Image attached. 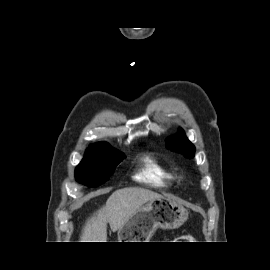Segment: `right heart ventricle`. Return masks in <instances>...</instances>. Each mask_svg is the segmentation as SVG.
Masks as SVG:
<instances>
[{"instance_id":"e07e8e85","label":"right heart ventricle","mask_w":270,"mask_h":270,"mask_svg":"<svg viewBox=\"0 0 270 270\" xmlns=\"http://www.w3.org/2000/svg\"><path fill=\"white\" fill-rule=\"evenodd\" d=\"M134 178L140 183L158 189L170 186L176 179L172 170L151 155L143 157L141 167Z\"/></svg>"}]
</instances>
